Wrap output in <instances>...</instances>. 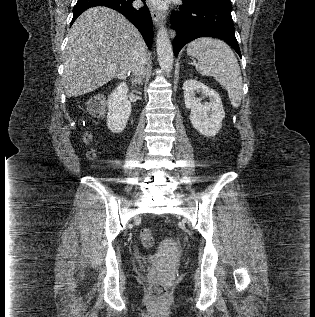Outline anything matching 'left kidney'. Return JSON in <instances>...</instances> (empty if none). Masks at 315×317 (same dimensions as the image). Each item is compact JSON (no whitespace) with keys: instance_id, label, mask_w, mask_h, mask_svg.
<instances>
[{"instance_id":"obj_1","label":"left kidney","mask_w":315,"mask_h":317,"mask_svg":"<svg viewBox=\"0 0 315 317\" xmlns=\"http://www.w3.org/2000/svg\"><path fill=\"white\" fill-rule=\"evenodd\" d=\"M183 91L185 106L191 109L190 121L193 127L204 136H215L225 118L219 94L207 85L192 79L184 82ZM197 93L208 96L210 102L200 103L196 98Z\"/></svg>"}]
</instances>
